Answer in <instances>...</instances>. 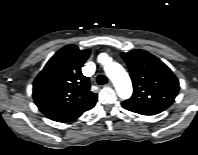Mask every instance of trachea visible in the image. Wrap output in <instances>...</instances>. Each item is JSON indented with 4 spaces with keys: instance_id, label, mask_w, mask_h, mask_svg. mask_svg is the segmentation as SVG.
Instances as JSON below:
<instances>
[{
    "instance_id": "1",
    "label": "trachea",
    "mask_w": 198,
    "mask_h": 155,
    "mask_svg": "<svg viewBox=\"0 0 198 155\" xmlns=\"http://www.w3.org/2000/svg\"><path fill=\"white\" fill-rule=\"evenodd\" d=\"M96 80L99 85H104L108 82V79L105 75H98Z\"/></svg>"
}]
</instances>
